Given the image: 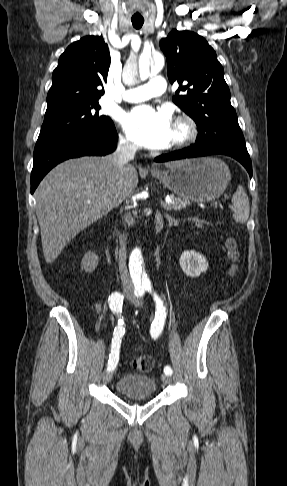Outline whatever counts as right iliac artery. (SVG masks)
<instances>
[{
	"mask_svg": "<svg viewBox=\"0 0 287 486\" xmlns=\"http://www.w3.org/2000/svg\"><path fill=\"white\" fill-rule=\"evenodd\" d=\"M145 288L144 287H137L135 289L136 296L144 295ZM124 296L119 292H114L109 296V307L110 309L116 313L121 314L122 312V305H123ZM124 322L123 319L118 320V325L116 326L112 338V345H111V353L108 361L107 371H112L116 368L118 360H119V349L121 338L125 333V328L123 326Z\"/></svg>",
	"mask_w": 287,
	"mask_h": 486,
	"instance_id": "1",
	"label": "right iliac artery"
}]
</instances>
